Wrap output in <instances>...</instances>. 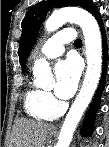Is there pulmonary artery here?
Segmentation results:
<instances>
[{
    "label": "pulmonary artery",
    "instance_id": "pulmonary-artery-1",
    "mask_svg": "<svg viewBox=\"0 0 109 147\" xmlns=\"http://www.w3.org/2000/svg\"><path fill=\"white\" fill-rule=\"evenodd\" d=\"M77 34L72 31L59 32L51 36L40 49V56L53 59L59 57L64 52V44L72 42Z\"/></svg>",
    "mask_w": 109,
    "mask_h": 147
}]
</instances>
